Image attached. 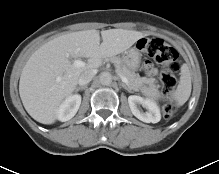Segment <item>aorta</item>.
Listing matches in <instances>:
<instances>
[{"label": "aorta", "instance_id": "762f6f07", "mask_svg": "<svg viewBox=\"0 0 219 174\" xmlns=\"http://www.w3.org/2000/svg\"><path fill=\"white\" fill-rule=\"evenodd\" d=\"M100 83L102 85H110L113 80V76L109 72H102L99 76Z\"/></svg>", "mask_w": 219, "mask_h": 174}]
</instances>
